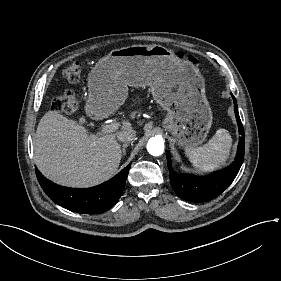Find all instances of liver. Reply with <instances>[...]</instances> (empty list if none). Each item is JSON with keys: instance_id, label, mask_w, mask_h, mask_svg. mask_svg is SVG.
<instances>
[{"instance_id": "1", "label": "liver", "mask_w": 281, "mask_h": 281, "mask_svg": "<svg viewBox=\"0 0 281 281\" xmlns=\"http://www.w3.org/2000/svg\"><path fill=\"white\" fill-rule=\"evenodd\" d=\"M123 131L132 129L122 121ZM117 133L90 134L84 126L54 111L39 121L34 140L35 164L51 181L72 188H88L109 180L119 167Z\"/></svg>"}]
</instances>
